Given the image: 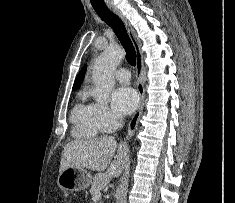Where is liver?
Returning a JSON list of instances; mask_svg holds the SVG:
<instances>
[{"instance_id":"liver-1","label":"liver","mask_w":235,"mask_h":203,"mask_svg":"<svg viewBox=\"0 0 235 203\" xmlns=\"http://www.w3.org/2000/svg\"><path fill=\"white\" fill-rule=\"evenodd\" d=\"M117 154L111 162L115 152ZM129 162V149L126 144H117L114 137H91L68 143L62 153L59 172L69 167L104 171L107 176L118 177Z\"/></svg>"}]
</instances>
